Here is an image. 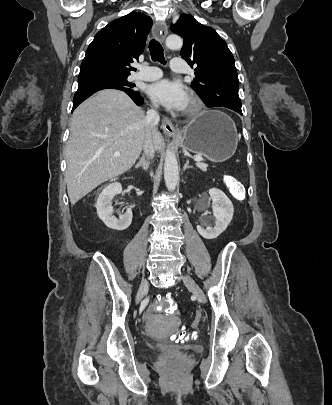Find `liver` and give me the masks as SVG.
<instances>
[{
    "mask_svg": "<svg viewBox=\"0 0 332 405\" xmlns=\"http://www.w3.org/2000/svg\"><path fill=\"white\" fill-rule=\"evenodd\" d=\"M144 112L122 91L97 92L74 111L66 144L65 180L71 204L101 183L129 170L138 159L147 135ZM154 147L164 145L153 134ZM116 151L119 156H114Z\"/></svg>",
    "mask_w": 332,
    "mask_h": 405,
    "instance_id": "1",
    "label": "liver"
}]
</instances>
